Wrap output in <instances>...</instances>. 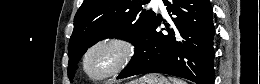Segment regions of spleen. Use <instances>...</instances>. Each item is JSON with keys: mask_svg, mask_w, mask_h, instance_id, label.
<instances>
[{"mask_svg": "<svg viewBox=\"0 0 260 84\" xmlns=\"http://www.w3.org/2000/svg\"><path fill=\"white\" fill-rule=\"evenodd\" d=\"M170 80L172 81L173 84H186V82L181 79L170 77Z\"/></svg>", "mask_w": 260, "mask_h": 84, "instance_id": "obj_1", "label": "spleen"}]
</instances>
